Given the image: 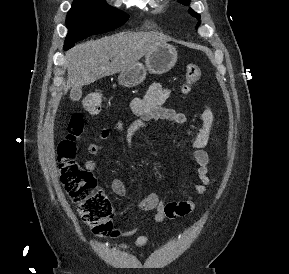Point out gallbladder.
Segmentation results:
<instances>
[{"mask_svg":"<svg viewBox=\"0 0 289 274\" xmlns=\"http://www.w3.org/2000/svg\"><path fill=\"white\" fill-rule=\"evenodd\" d=\"M82 96V91H81V88L80 87H77V88H72L71 91H70V98L73 100V101H77L81 98Z\"/></svg>","mask_w":289,"mask_h":274,"instance_id":"1","label":"gallbladder"}]
</instances>
